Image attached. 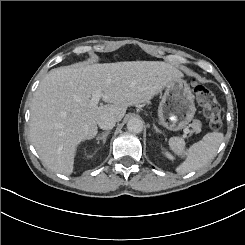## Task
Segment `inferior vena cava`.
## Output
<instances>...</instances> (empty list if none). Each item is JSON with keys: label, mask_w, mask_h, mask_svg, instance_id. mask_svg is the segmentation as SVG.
<instances>
[{"label": "inferior vena cava", "mask_w": 245, "mask_h": 245, "mask_svg": "<svg viewBox=\"0 0 245 245\" xmlns=\"http://www.w3.org/2000/svg\"><path fill=\"white\" fill-rule=\"evenodd\" d=\"M98 126L103 129H111L115 126V117L113 115L103 113L98 118Z\"/></svg>", "instance_id": "602c4592"}]
</instances>
